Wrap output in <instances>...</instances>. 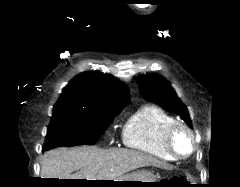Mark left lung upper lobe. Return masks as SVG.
I'll list each match as a JSON object with an SVG mask.
<instances>
[{"label": "left lung upper lobe", "instance_id": "obj_1", "mask_svg": "<svg viewBox=\"0 0 240 187\" xmlns=\"http://www.w3.org/2000/svg\"><path fill=\"white\" fill-rule=\"evenodd\" d=\"M138 85L142 96L160 105L163 109L178 114L190 126L191 120L188 110L171 85L162 77L157 75L140 76Z\"/></svg>", "mask_w": 240, "mask_h": 187}]
</instances>
